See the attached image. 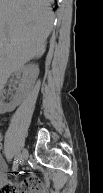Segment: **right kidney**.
I'll return each instance as SVG.
<instances>
[{"label": "right kidney", "mask_w": 103, "mask_h": 193, "mask_svg": "<svg viewBox=\"0 0 103 193\" xmlns=\"http://www.w3.org/2000/svg\"><path fill=\"white\" fill-rule=\"evenodd\" d=\"M20 71L23 73L24 76H27L28 79H22L19 87L21 89H26L29 90L31 85L34 83V80L36 78V76L39 73V69H38V65L35 64H31V65H27L24 66L20 69ZM19 104L18 103H12V104H2V112H11L15 109V107Z\"/></svg>", "instance_id": "ca27d5eb"}]
</instances>
